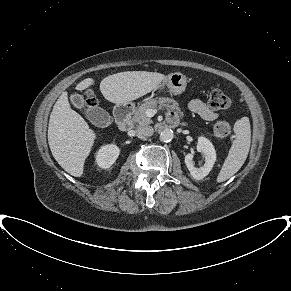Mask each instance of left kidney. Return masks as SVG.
<instances>
[{"label":"left kidney","instance_id":"5707ae66","mask_svg":"<svg viewBox=\"0 0 291 291\" xmlns=\"http://www.w3.org/2000/svg\"><path fill=\"white\" fill-rule=\"evenodd\" d=\"M198 152L202 153L205 157V163L199 168L194 166L193 153H188L185 156V164L190 171L191 176L196 180H201L206 177L211 171L215 161L216 152L212 143L205 137H199L196 146Z\"/></svg>","mask_w":291,"mask_h":291}]
</instances>
